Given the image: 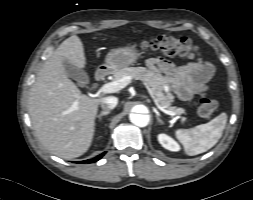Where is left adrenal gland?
<instances>
[{
  "mask_svg": "<svg viewBox=\"0 0 253 200\" xmlns=\"http://www.w3.org/2000/svg\"><path fill=\"white\" fill-rule=\"evenodd\" d=\"M156 118H157L158 123L163 124V121L161 120V118L158 115H156Z\"/></svg>",
  "mask_w": 253,
  "mask_h": 200,
  "instance_id": "1",
  "label": "left adrenal gland"
}]
</instances>
